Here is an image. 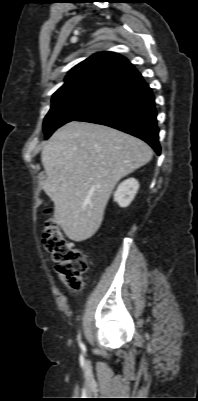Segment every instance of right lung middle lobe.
I'll use <instances>...</instances> for the list:
<instances>
[{"instance_id":"right-lung-middle-lobe-1","label":"right lung middle lobe","mask_w":198,"mask_h":401,"mask_svg":"<svg viewBox=\"0 0 198 401\" xmlns=\"http://www.w3.org/2000/svg\"><path fill=\"white\" fill-rule=\"evenodd\" d=\"M109 89L84 88L52 97V105L43 123L45 139L60 126L75 121L94 109Z\"/></svg>"}]
</instances>
